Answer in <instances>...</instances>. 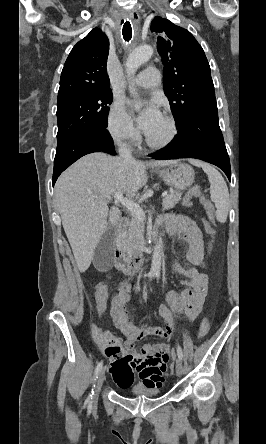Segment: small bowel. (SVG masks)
Returning a JSON list of instances; mask_svg holds the SVG:
<instances>
[{
  "label": "small bowel",
  "mask_w": 266,
  "mask_h": 444,
  "mask_svg": "<svg viewBox=\"0 0 266 444\" xmlns=\"http://www.w3.org/2000/svg\"><path fill=\"white\" fill-rule=\"evenodd\" d=\"M166 231L177 237L180 243L187 245L186 266L179 260L174 262V271L184 276L181 281L182 292H170L167 296L168 306L158 308V316L165 326L152 327L135 325L126 311L130 298V287L121 292L116 302L111 305L110 312L114 325L125 335L123 341L102 330L97 322L91 325V335L94 342L104 351L111 361L110 374L115 384L120 388H129L136 373L141 380V386L160 388L164 382L166 363L174 353L167 343L143 346L135 350V344L146 336H157L169 341L175 331V320L178 315L187 320H194L200 313L207 293L208 276L201 270L205 268V251L202 235L197 225L188 217L168 215L164 219ZM108 298V288L101 283L94 293V307L98 317L105 311Z\"/></svg>",
  "instance_id": "small-bowel-1"
}]
</instances>
